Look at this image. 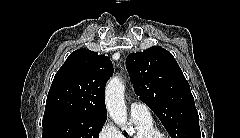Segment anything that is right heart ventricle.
<instances>
[{"label":"right heart ventricle","instance_id":"1","mask_svg":"<svg viewBox=\"0 0 240 138\" xmlns=\"http://www.w3.org/2000/svg\"><path fill=\"white\" fill-rule=\"evenodd\" d=\"M132 120L136 129L135 133L122 138H146L150 134L159 133L151 117H132Z\"/></svg>","mask_w":240,"mask_h":138}]
</instances>
